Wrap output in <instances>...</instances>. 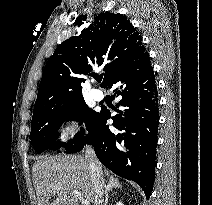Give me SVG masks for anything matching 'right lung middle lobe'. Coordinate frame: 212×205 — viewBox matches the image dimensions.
<instances>
[{"instance_id":"1","label":"right lung middle lobe","mask_w":212,"mask_h":205,"mask_svg":"<svg viewBox=\"0 0 212 205\" xmlns=\"http://www.w3.org/2000/svg\"><path fill=\"white\" fill-rule=\"evenodd\" d=\"M99 112L89 108L84 99L67 105H48L35 109L31 122L30 140L37 153L44 150H56L61 146L68 147L84 135L81 129L68 143L56 141L57 130L65 121H82L89 130L99 116Z\"/></svg>"}]
</instances>
